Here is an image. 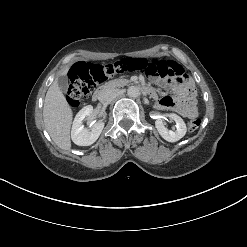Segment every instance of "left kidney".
<instances>
[{"label":"left kidney","mask_w":247,"mask_h":247,"mask_svg":"<svg viewBox=\"0 0 247 247\" xmlns=\"http://www.w3.org/2000/svg\"><path fill=\"white\" fill-rule=\"evenodd\" d=\"M172 120L176 122V130H169L162 119H157L155 121V127L157 128L159 134L168 142H176L185 136L187 127L183 119L175 113L167 114Z\"/></svg>","instance_id":"obj_1"}]
</instances>
